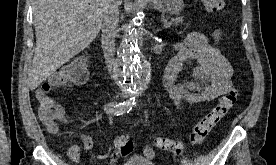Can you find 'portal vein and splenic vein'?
<instances>
[{
  "label": "portal vein and splenic vein",
  "mask_w": 276,
  "mask_h": 165,
  "mask_svg": "<svg viewBox=\"0 0 276 165\" xmlns=\"http://www.w3.org/2000/svg\"><path fill=\"white\" fill-rule=\"evenodd\" d=\"M170 25H171V23H170V22H167V21H165V22H164V27H166V28H167V27H169Z\"/></svg>",
  "instance_id": "portal-vein-and-splenic-vein-1"
}]
</instances>
